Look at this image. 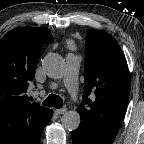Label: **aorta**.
<instances>
[{"mask_svg": "<svg viewBox=\"0 0 144 144\" xmlns=\"http://www.w3.org/2000/svg\"><path fill=\"white\" fill-rule=\"evenodd\" d=\"M43 69L46 75L53 79H60L65 73V63L64 60L55 54L47 55L43 59ZM81 118L77 111H68L62 118V126L68 131H74L79 127Z\"/></svg>", "mask_w": 144, "mask_h": 144, "instance_id": "aorta-1", "label": "aorta"}]
</instances>
